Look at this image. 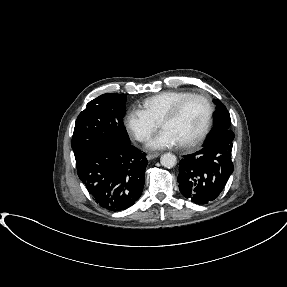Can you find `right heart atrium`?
Listing matches in <instances>:
<instances>
[{"label": "right heart atrium", "instance_id": "d8ad5b80", "mask_svg": "<svg viewBox=\"0 0 287 287\" xmlns=\"http://www.w3.org/2000/svg\"><path fill=\"white\" fill-rule=\"evenodd\" d=\"M127 132L139 142L147 141L158 127V122L142 109H130L124 117Z\"/></svg>", "mask_w": 287, "mask_h": 287}]
</instances>
